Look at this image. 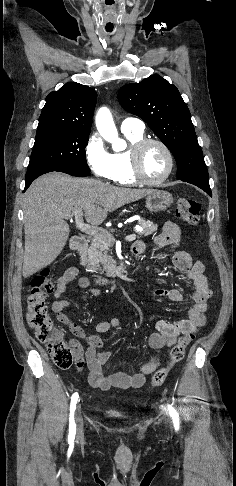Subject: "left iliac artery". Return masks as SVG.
<instances>
[{"mask_svg": "<svg viewBox=\"0 0 236 486\" xmlns=\"http://www.w3.org/2000/svg\"><path fill=\"white\" fill-rule=\"evenodd\" d=\"M168 406V410H169V413L173 419V424H174V427L176 430L179 429V417H178V414L176 412V410L171 406V405H167Z\"/></svg>", "mask_w": 236, "mask_h": 486, "instance_id": "left-iliac-artery-1", "label": "left iliac artery"}]
</instances>
